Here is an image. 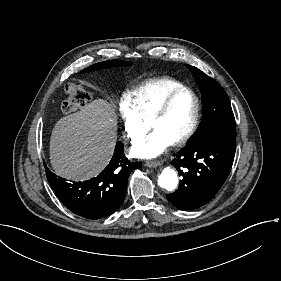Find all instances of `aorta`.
I'll return each mask as SVG.
<instances>
[{"label":"aorta","instance_id":"762f6f07","mask_svg":"<svg viewBox=\"0 0 281 281\" xmlns=\"http://www.w3.org/2000/svg\"><path fill=\"white\" fill-rule=\"evenodd\" d=\"M158 184L167 191H173L178 185V177L175 170L165 168L159 175Z\"/></svg>","mask_w":281,"mask_h":281}]
</instances>
